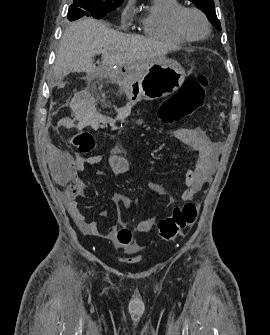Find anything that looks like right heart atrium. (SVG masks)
Returning a JSON list of instances; mask_svg holds the SVG:
<instances>
[{"instance_id": "right-heart-atrium-1", "label": "right heart atrium", "mask_w": 270, "mask_h": 335, "mask_svg": "<svg viewBox=\"0 0 270 335\" xmlns=\"http://www.w3.org/2000/svg\"><path fill=\"white\" fill-rule=\"evenodd\" d=\"M134 2H135L134 0H127L125 9L122 12V18L124 20H128V18L130 16V13H131V10L134 6Z\"/></svg>"}]
</instances>
